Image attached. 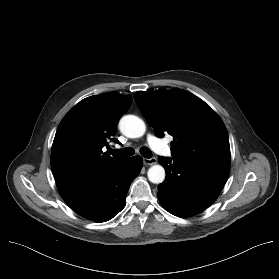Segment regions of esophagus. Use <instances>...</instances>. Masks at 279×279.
Segmentation results:
<instances>
[{"label": "esophagus", "mask_w": 279, "mask_h": 279, "mask_svg": "<svg viewBox=\"0 0 279 279\" xmlns=\"http://www.w3.org/2000/svg\"><path fill=\"white\" fill-rule=\"evenodd\" d=\"M143 162L145 165H154L157 163V159L155 157L152 158H144Z\"/></svg>", "instance_id": "34e87169"}]
</instances>
